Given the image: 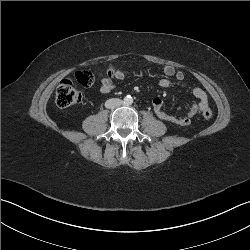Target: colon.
<instances>
[{
  "mask_svg": "<svg viewBox=\"0 0 250 250\" xmlns=\"http://www.w3.org/2000/svg\"><path fill=\"white\" fill-rule=\"evenodd\" d=\"M114 68L107 69L106 73L109 76L115 74ZM76 81L83 87H88L93 82V75L87 71H81L76 74ZM82 99V93L79 91L71 80L64 79L60 82L56 91V103L61 108H68ZM202 115L205 119H210L213 115L212 110L206 107L202 111Z\"/></svg>",
  "mask_w": 250,
  "mask_h": 250,
  "instance_id": "5ec220e1",
  "label": "colon"
}]
</instances>
